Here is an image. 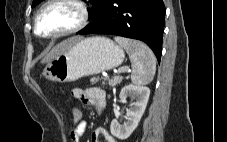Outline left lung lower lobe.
<instances>
[{"label":"left lung lower lobe","instance_id":"obj_1","mask_svg":"<svg viewBox=\"0 0 227 142\" xmlns=\"http://www.w3.org/2000/svg\"><path fill=\"white\" fill-rule=\"evenodd\" d=\"M163 0H107L93 22L77 34H112L145 42L161 57Z\"/></svg>","mask_w":227,"mask_h":142}]
</instances>
